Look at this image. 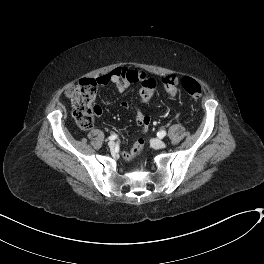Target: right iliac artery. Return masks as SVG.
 Listing matches in <instances>:
<instances>
[{"mask_svg":"<svg viewBox=\"0 0 264 264\" xmlns=\"http://www.w3.org/2000/svg\"><path fill=\"white\" fill-rule=\"evenodd\" d=\"M116 138H117V135L114 134V135L110 136L108 139L109 140H115Z\"/></svg>","mask_w":264,"mask_h":264,"instance_id":"82829eb1","label":"right iliac artery"}]
</instances>
